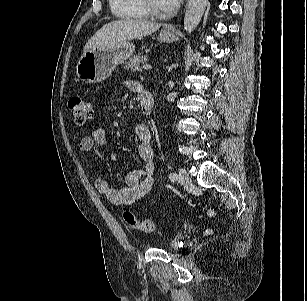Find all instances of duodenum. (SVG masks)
<instances>
[{"label": "duodenum", "mask_w": 307, "mask_h": 301, "mask_svg": "<svg viewBox=\"0 0 307 301\" xmlns=\"http://www.w3.org/2000/svg\"><path fill=\"white\" fill-rule=\"evenodd\" d=\"M140 97V108L143 114L150 115L154 107V96L153 94L143 88H140L139 91Z\"/></svg>", "instance_id": "obj_1"}]
</instances>
